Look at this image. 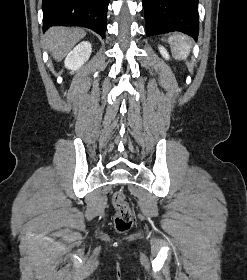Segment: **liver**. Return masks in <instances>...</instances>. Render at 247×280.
<instances>
[{"label": "liver", "instance_id": "6515ba94", "mask_svg": "<svg viewBox=\"0 0 247 280\" xmlns=\"http://www.w3.org/2000/svg\"><path fill=\"white\" fill-rule=\"evenodd\" d=\"M85 35V31L79 28L52 27L45 34V45L59 62Z\"/></svg>", "mask_w": 247, "mask_h": 280}]
</instances>
